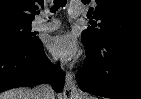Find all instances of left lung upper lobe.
<instances>
[{
  "label": "left lung upper lobe",
  "instance_id": "left-lung-upper-lobe-1",
  "mask_svg": "<svg viewBox=\"0 0 141 99\" xmlns=\"http://www.w3.org/2000/svg\"><path fill=\"white\" fill-rule=\"evenodd\" d=\"M95 3L96 7L91 8L87 16L101 22L82 32L86 44L98 47L112 39L141 40L140 0H96Z\"/></svg>",
  "mask_w": 141,
  "mask_h": 99
}]
</instances>
